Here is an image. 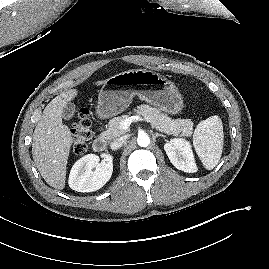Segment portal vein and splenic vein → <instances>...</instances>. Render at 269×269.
I'll return each mask as SVG.
<instances>
[{
	"instance_id": "portal-vein-and-splenic-vein-1",
	"label": "portal vein and splenic vein",
	"mask_w": 269,
	"mask_h": 269,
	"mask_svg": "<svg viewBox=\"0 0 269 269\" xmlns=\"http://www.w3.org/2000/svg\"><path fill=\"white\" fill-rule=\"evenodd\" d=\"M141 120L143 119L139 116L128 117L121 122V128L124 130H127L132 122L141 121Z\"/></svg>"
}]
</instances>
